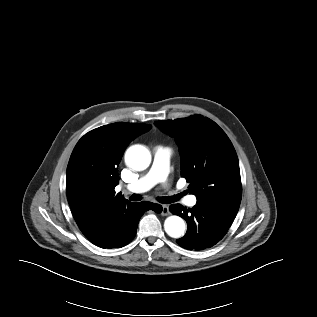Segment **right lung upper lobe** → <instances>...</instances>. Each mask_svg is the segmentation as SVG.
I'll return each mask as SVG.
<instances>
[{
  "label": "right lung upper lobe",
  "mask_w": 317,
  "mask_h": 317,
  "mask_svg": "<svg viewBox=\"0 0 317 317\" xmlns=\"http://www.w3.org/2000/svg\"><path fill=\"white\" fill-rule=\"evenodd\" d=\"M150 129L144 124L113 123L78 141L67 166L66 192L72 211L91 200L104 208L129 202L114 191L120 179L118 165L128 144Z\"/></svg>",
  "instance_id": "cb5924a9"
}]
</instances>
